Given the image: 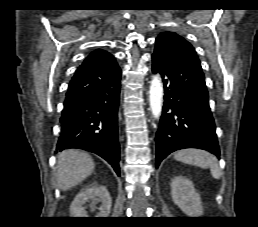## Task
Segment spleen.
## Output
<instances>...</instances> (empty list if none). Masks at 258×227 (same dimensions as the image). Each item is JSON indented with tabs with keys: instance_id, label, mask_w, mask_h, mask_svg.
Segmentation results:
<instances>
[{
	"instance_id": "1",
	"label": "spleen",
	"mask_w": 258,
	"mask_h": 227,
	"mask_svg": "<svg viewBox=\"0 0 258 227\" xmlns=\"http://www.w3.org/2000/svg\"><path fill=\"white\" fill-rule=\"evenodd\" d=\"M174 158L190 165L209 168L215 179L220 178L221 173L216 157L206 151L197 149L181 150L174 154Z\"/></svg>"
}]
</instances>
